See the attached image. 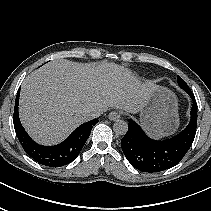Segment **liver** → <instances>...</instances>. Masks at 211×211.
Returning <instances> with one entry per match:
<instances>
[{"mask_svg": "<svg viewBox=\"0 0 211 211\" xmlns=\"http://www.w3.org/2000/svg\"><path fill=\"white\" fill-rule=\"evenodd\" d=\"M154 87L153 82L141 83L130 70L114 63L51 61L23 81L20 120L38 143L57 144L90 120L91 110L141 111Z\"/></svg>", "mask_w": 211, "mask_h": 211, "instance_id": "6515ba94", "label": "liver"}]
</instances>
